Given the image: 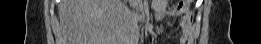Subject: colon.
<instances>
[{"label": "colon", "instance_id": "colon-1", "mask_svg": "<svg viewBox=\"0 0 261 44\" xmlns=\"http://www.w3.org/2000/svg\"><path fill=\"white\" fill-rule=\"evenodd\" d=\"M177 5H178L179 7L189 6V5H190V1H188V0L178 1V2H177Z\"/></svg>", "mask_w": 261, "mask_h": 44}]
</instances>
